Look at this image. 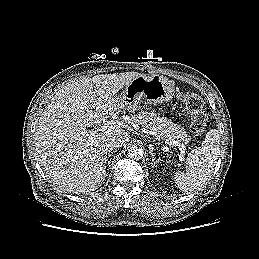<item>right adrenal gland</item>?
I'll use <instances>...</instances> for the list:
<instances>
[{
    "label": "right adrenal gland",
    "instance_id": "obj_1",
    "mask_svg": "<svg viewBox=\"0 0 259 259\" xmlns=\"http://www.w3.org/2000/svg\"><path fill=\"white\" fill-rule=\"evenodd\" d=\"M114 153V151H110L109 153H108V157H107V159H106V163L108 164V166H109V164H110V157L112 156V154Z\"/></svg>",
    "mask_w": 259,
    "mask_h": 259
}]
</instances>
